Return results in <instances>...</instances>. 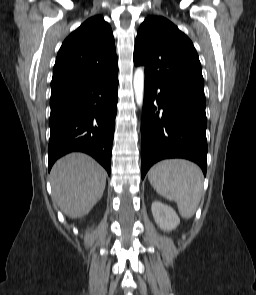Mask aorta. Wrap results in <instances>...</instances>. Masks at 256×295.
<instances>
[{
  "mask_svg": "<svg viewBox=\"0 0 256 295\" xmlns=\"http://www.w3.org/2000/svg\"><path fill=\"white\" fill-rule=\"evenodd\" d=\"M135 99L138 106L143 104L144 94V70L142 68L136 69L133 80Z\"/></svg>",
  "mask_w": 256,
  "mask_h": 295,
  "instance_id": "762f6f07",
  "label": "aorta"
}]
</instances>
